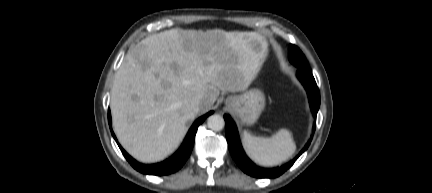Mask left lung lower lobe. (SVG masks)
<instances>
[{"label":"left lung lower lobe","instance_id":"1","mask_svg":"<svg viewBox=\"0 0 432 193\" xmlns=\"http://www.w3.org/2000/svg\"><path fill=\"white\" fill-rule=\"evenodd\" d=\"M297 77L305 87L311 110L314 116L317 114L320 106V94L317 84L310 69L298 68ZM226 123V138L228 142V147L230 153L237 163V165L247 174L258 177V178H275L284 173L288 168H290L296 159L309 147L311 140L308 141L306 146L301 150L298 156H296L292 161L286 165L273 169H264L256 166L244 153L242 148L236 126L232 119L228 115H224ZM315 130V124L313 131Z\"/></svg>","mask_w":432,"mask_h":193}]
</instances>
